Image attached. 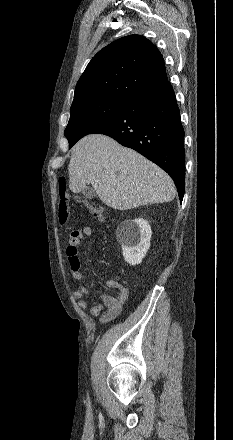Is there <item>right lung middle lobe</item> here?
<instances>
[{"instance_id":"obj_1","label":"right lung middle lobe","mask_w":233,"mask_h":440,"mask_svg":"<svg viewBox=\"0 0 233 440\" xmlns=\"http://www.w3.org/2000/svg\"><path fill=\"white\" fill-rule=\"evenodd\" d=\"M127 102L115 98H89L72 103L71 116L65 129L69 148L85 135L108 123Z\"/></svg>"}]
</instances>
